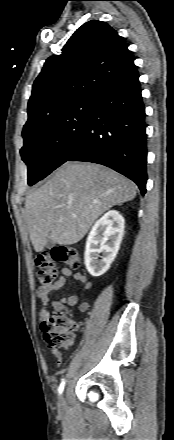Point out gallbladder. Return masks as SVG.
Returning a JSON list of instances; mask_svg holds the SVG:
<instances>
[{"instance_id": "obj_1", "label": "gallbladder", "mask_w": 174, "mask_h": 440, "mask_svg": "<svg viewBox=\"0 0 174 440\" xmlns=\"http://www.w3.org/2000/svg\"><path fill=\"white\" fill-rule=\"evenodd\" d=\"M54 244H55L54 241L48 237L46 246L50 248V247H53Z\"/></svg>"}]
</instances>
